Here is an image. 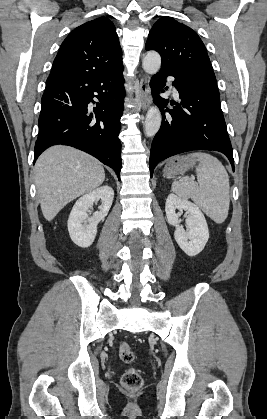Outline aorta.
<instances>
[{
	"label": "aorta",
	"mask_w": 267,
	"mask_h": 419,
	"mask_svg": "<svg viewBox=\"0 0 267 419\" xmlns=\"http://www.w3.org/2000/svg\"><path fill=\"white\" fill-rule=\"evenodd\" d=\"M143 69L148 74H156L161 67V57L156 51H149L146 53L143 62ZM161 113L156 106L149 108L144 122V132L147 137L154 136L161 126Z\"/></svg>",
	"instance_id": "obj_1"
}]
</instances>
